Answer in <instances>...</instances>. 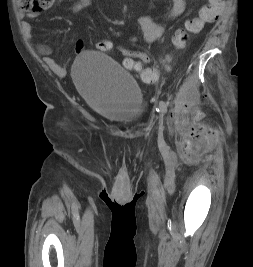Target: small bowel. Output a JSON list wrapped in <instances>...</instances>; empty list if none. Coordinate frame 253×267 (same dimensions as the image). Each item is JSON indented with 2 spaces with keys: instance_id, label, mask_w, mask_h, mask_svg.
<instances>
[{
  "instance_id": "1",
  "label": "small bowel",
  "mask_w": 253,
  "mask_h": 267,
  "mask_svg": "<svg viewBox=\"0 0 253 267\" xmlns=\"http://www.w3.org/2000/svg\"><path fill=\"white\" fill-rule=\"evenodd\" d=\"M171 1H172L171 7L164 14L162 18L155 19L150 12L140 18L139 20L140 29L147 43L153 44L158 39H160L166 29L165 23L169 20L179 17L184 13L187 4L186 0H171ZM91 4L92 0H78L72 6V12L78 14L83 10L87 9L88 7H90ZM151 5H153V2H151ZM29 16L34 17L35 15L30 14ZM22 30L25 38L31 41L32 27L30 23L24 21L22 23ZM32 45L34 46L35 50L42 56L45 62L53 63L52 48L42 43H37V44L32 43ZM83 49H84L83 44L81 42L77 43L76 45L77 53L82 52Z\"/></svg>"
}]
</instances>
